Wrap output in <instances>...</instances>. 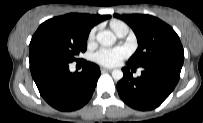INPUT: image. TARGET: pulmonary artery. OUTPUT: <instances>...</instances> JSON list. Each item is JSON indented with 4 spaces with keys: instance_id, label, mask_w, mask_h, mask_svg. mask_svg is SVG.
<instances>
[{
    "instance_id": "1",
    "label": "pulmonary artery",
    "mask_w": 203,
    "mask_h": 123,
    "mask_svg": "<svg viewBox=\"0 0 203 123\" xmlns=\"http://www.w3.org/2000/svg\"><path fill=\"white\" fill-rule=\"evenodd\" d=\"M114 32L118 37L122 38L128 33V27L125 23H122Z\"/></svg>"
}]
</instances>
